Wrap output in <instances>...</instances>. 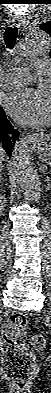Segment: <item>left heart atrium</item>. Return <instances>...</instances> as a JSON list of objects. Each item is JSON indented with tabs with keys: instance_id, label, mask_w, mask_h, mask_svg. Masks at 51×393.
Here are the masks:
<instances>
[{
	"instance_id": "39dd6f15",
	"label": "left heart atrium",
	"mask_w": 51,
	"mask_h": 393,
	"mask_svg": "<svg viewBox=\"0 0 51 393\" xmlns=\"http://www.w3.org/2000/svg\"><path fill=\"white\" fill-rule=\"evenodd\" d=\"M8 113L27 126H44L51 121V98L47 91L25 88L7 97Z\"/></svg>"
}]
</instances>
